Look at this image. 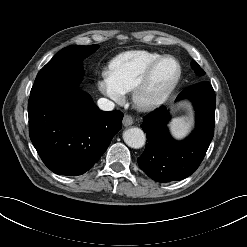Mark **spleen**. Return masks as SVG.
Returning <instances> with one entry per match:
<instances>
[{"mask_svg": "<svg viewBox=\"0 0 247 247\" xmlns=\"http://www.w3.org/2000/svg\"><path fill=\"white\" fill-rule=\"evenodd\" d=\"M169 126L172 135L177 139H181L190 132L192 120L187 116L177 117L172 120Z\"/></svg>", "mask_w": 247, "mask_h": 247, "instance_id": "obj_1", "label": "spleen"}]
</instances>
